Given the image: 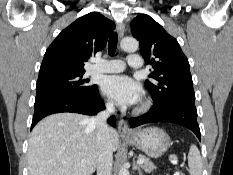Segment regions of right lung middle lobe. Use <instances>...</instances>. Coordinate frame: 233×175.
<instances>
[{
    "label": "right lung middle lobe",
    "instance_id": "right-lung-middle-lobe-1",
    "mask_svg": "<svg viewBox=\"0 0 233 175\" xmlns=\"http://www.w3.org/2000/svg\"><path fill=\"white\" fill-rule=\"evenodd\" d=\"M85 73L56 74L38 78L36 85V99L54 94H85L94 90L96 85H87V80H83Z\"/></svg>",
    "mask_w": 233,
    "mask_h": 175
}]
</instances>
